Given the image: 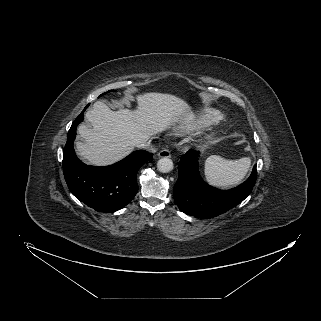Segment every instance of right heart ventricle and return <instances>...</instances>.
Listing matches in <instances>:
<instances>
[{
  "instance_id": "right-heart-ventricle-1",
  "label": "right heart ventricle",
  "mask_w": 321,
  "mask_h": 321,
  "mask_svg": "<svg viewBox=\"0 0 321 321\" xmlns=\"http://www.w3.org/2000/svg\"><path fill=\"white\" fill-rule=\"evenodd\" d=\"M223 118L222 114L213 109H204L201 112L193 115L180 126V132L182 134L190 133L202 127L216 123Z\"/></svg>"
}]
</instances>
